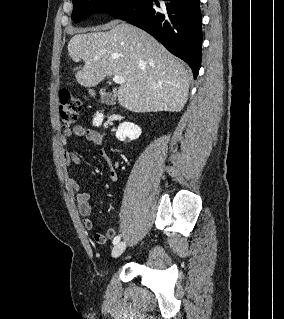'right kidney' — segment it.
Masks as SVG:
<instances>
[{
  "label": "right kidney",
  "mask_w": 284,
  "mask_h": 319,
  "mask_svg": "<svg viewBox=\"0 0 284 319\" xmlns=\"http://www.w3.org/2000/svg\"><path fill=\"white\" fill-rule=\"evenodd\" d=\"M101 114L96 115L93 119V124L99 126L103 120ZM141 135V128L131 122H123L118 126L116 131V138L120 141H125L126 139L135 140Z\"/></svg>",
  "instance_id": "obj_1"
}]
</instances>
